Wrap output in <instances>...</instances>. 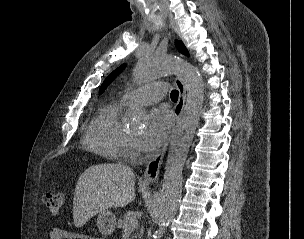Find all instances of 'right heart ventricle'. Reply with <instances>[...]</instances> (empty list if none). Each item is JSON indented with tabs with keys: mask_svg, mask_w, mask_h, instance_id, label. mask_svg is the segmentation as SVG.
I'll use <instances>...</instances> for the list:
<instances>
[{
	"mask_svg": "<svg viewBox=\"0 0 304 239\" xmlns=\"http://www.w3.org/2000/svg\"><path fill=\"white\" fill-rule=\"evenodd\" d=\"M127 105L112 102L101 108L88 124L83 145L108 160H120L125 149L126 131L120 115Z\"/></svg>",
	"mask_w": 304,
	"mask_h": 239,
	"instance_id": "obj_1",
	"label": "right heart ventricle"
}]
</instances>
